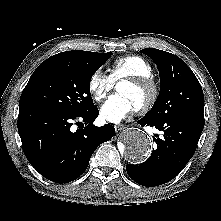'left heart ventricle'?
Here are the masks:
<instances>
[{"mask_svg": "<svg viewBox=\"0 0 221 221\" xmlns=\"http://www.w3.org/2000/svg\"><path fill=\"white\" fill-rule=\"evenodd\" d=\"M117 90L119 93L126 95L136 108L143 104L150 95L149 89L133 86L125 82L120 83Z\"/></svg>", "mask_w": 221, "mask_h": 221, "instance_id": "b2bd125f", "label": "left heart ventricle"}]
</instances>
